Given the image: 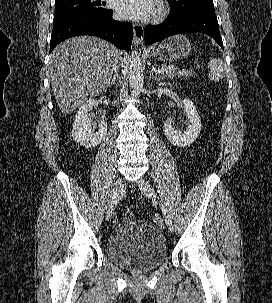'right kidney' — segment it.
Instances as JSON below:
<instances>
[{
    "instance_id": "ca27d5eb",
    "label": "right kidney",
    "mask_w": 272,
    "mask_h": 303,
    "mask_svg": "<svg viewBox=\"0 0 272 303\" xmlns=\"http://www.w3.org/2000/svg\"><path fill=\"white\" fill-rule=\"evenodd\" d=\"M100 101L96 99H89L80 106L75 115L72 138L85 148H93L98 146L107 133V123L103 119L99 124L98 131L93 127V113ZM103 104L108 105L109 100L105 99Z\"/></svg>"
}]
</instances>
